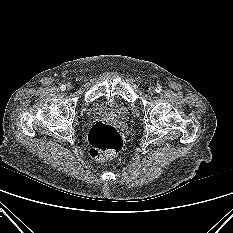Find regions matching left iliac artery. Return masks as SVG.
Masks as SVG:
<instances>
[{
    "mask_svg": "<svg viewBox=\"0 0 233 233\" xmlns=\"http://www.w3.org/2000/svg\"><path fill=\"white\" fill-rule=\"evenodd\" d=\"M155 91H156L157 93H160V92L162 91V89H161L160 86H158V87H156Z\"/></svg>",
    "mask_w": 233,
    "mask_h": 233,
    "instance_id": "left-iliac-artery-1",
    "label": "left iliac artery"
}]
</instances>
